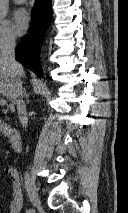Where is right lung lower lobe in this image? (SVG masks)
Returning <instances> with one entry per match:
<instances>
[{
	"mask_svg": "<svg viewBox=\"0 0 128 213\" xmlns=\"http://www.w3.org/2000/svg\"><path fill=\"white\" fill-rule=\"evenodd\" d=\"M32 13L31 29L28 36L16 46V57L27 68L41 76L42 70L38 62V53L42 37L49 27L52 18L51 0H36Z\"/></svg>",
	"mask_w": 128,
	"mask_h": 213,
	"instance_id": "1",
	"label": "right lung lower lobe"
}]
</instances>
